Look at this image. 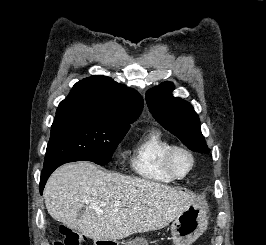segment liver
Here are the masks:
<instances>
[{
	"label": "liver",
	"mask_w": 266,
	"mask_h": 245,
	"mask_svg": "<svg viewBox=\"0 0 266 245\" xmlns=\"http://www.w3.org/2000/svg\"><path fill=\"white\" fill-rule=\"evenodd\" d=\"M43 197L52 219L93 241H116L164 229L194 205L167 185L100 171L89 161L67 163L49 177ZM96 203L102 213L91 205ZM83 211V215L77 217Z\"/></svg>",
	"instance_id": "1"
}]
</instances>
